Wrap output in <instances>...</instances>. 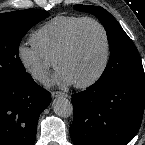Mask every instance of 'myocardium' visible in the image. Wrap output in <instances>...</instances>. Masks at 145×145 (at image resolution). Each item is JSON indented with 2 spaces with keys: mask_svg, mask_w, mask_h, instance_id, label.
Here are the masks:
<instances>
[{
  "mask_svg": "<svg viewBox=\"0 0 145 145\" xmlns=\"http://www.w3.org/2000/svg\"><path fill=\"white\" fill-rule=\"evenodd\" d=\"M84 23H92L101 30L104 38V44H105V57L99 70L90 79L82 83H73V85L79 89L89 88L94 84H96L103 77V75L105 74L109 66L111 60V53H112L110 36L106 27L99 20L95 18L83 17L70 30L64 46L62 47V49L60 50V52L58 53V55L54 60L55 67L58 69V63L66 56H68L69 53L72 51L74 47L77 31L80 28V26Z\"/></svg>",
  "mask_w": 145,
  "mask_h": 145,
  "instance_id": "1",
  "label": "myocardium"
}]
</instances>
